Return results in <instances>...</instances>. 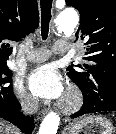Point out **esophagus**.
<instances>
[{
  "mask_svg": "<svg viewBox=\"0 0 116 134\" xmlns=\"http://www.w3.org/2000/svg\"><path fill=\"white\" fill-rule=\"evenodd\" d=\"M46 113H47V109H43V110L38 111L37 118L42 119L46 115Z\"/></svg>",
  "mask_w": 116,
  "mask_h": 134,
  "instance_id": "obj_1",
  "label": "esophagus"
}]
</instances>
